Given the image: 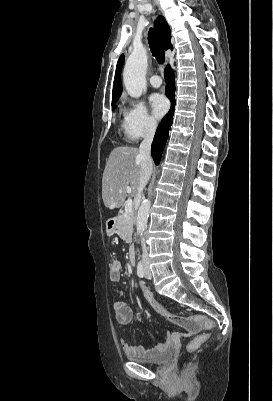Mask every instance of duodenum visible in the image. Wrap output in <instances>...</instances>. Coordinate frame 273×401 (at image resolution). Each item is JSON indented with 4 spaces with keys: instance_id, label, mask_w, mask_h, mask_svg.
Segmentation results:
<instances>
[{
    "instance_id": "duodenum-1",
    "label": "duodenum",
    "mask_w": 273,
    "mask_h": 401,
    "mask_svg": "<svg viewBox=\"0 0 273 401\" xmlns=\"http://www.w3.org/2000/svg\"><path fill=\"white\" fill-rule=\"evenodd\" d=\"M116 223V218H111L107 223V229L109 232L113 231ZM128 259L131 265L135 264L136 261V251L134 246H130L128 250Z\"/></svg>"
}]
</instances>
